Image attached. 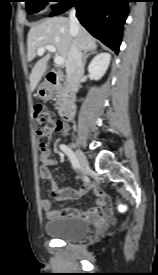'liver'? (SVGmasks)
Returning <instances> with one entry per match:
<instances>
[{"mask_svg":"<svg viewBox=\"0 0 158 275\" xmlns=\"http://www.w3.org/2000/svg\"><path fill=\"white\" fill-rule=\"evenodd\" d=\"M72 38H76L75 40L80 50L90 51L97 48L94 37L81 26L78 29H72L68 18L58 16L41 21L33 26L28 33V62L36 57L37 50L40 47L53 45L59 56L64 58L66 64L73 41ZM50 57L51 54L47 53L34 65L30 75V86L32 91L37 87L41 78L46 73Z\"/></svg>","mask_w":158,"mask_h":275,"instance_id":"liver-1","label":"liver"}]
</instances>
